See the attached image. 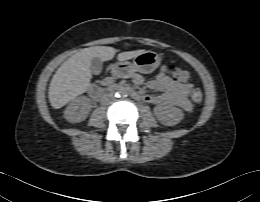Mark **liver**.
I'll return each instance as SVG.
<instances>
[{
    "mask_svg": "<svg viewBox=\"0 0 260 202\" xmlns=\"http://www.w3.org/2000/svg\"><path fill=\"white\" fill-rule=\"evenodd\" d=\"M116 49L107 46L84 48L68 58L54 74L48 91L50 104L59 109L77 96L83 94L89 87L92 78L91 60L95 57L101 61L114 58ZM145 50H135L118 54L119 61L135 58Z\"/></svg>",
    "mask_w": 260,
    "mask_h": 202,
    "instance_id": "liver-1",
    "label": "liver"
}]
</instances>
